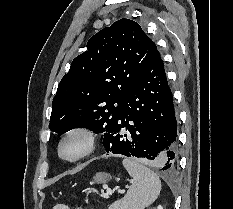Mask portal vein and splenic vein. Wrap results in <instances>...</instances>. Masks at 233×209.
Wrapping results in <instances>:
<instances>
[{
  "label": "portal vein and splenic vein",
  "mask_w": 233,
  "mask_h": 209,
  "mask_svg": "<svg viewBox=\"0 0 233 209\" xmlns=\"http://www.w3.org/2000/svg\"><path fill=\"white\" fill-rule=\"evenodd\" d=\"M112 193L113 191L111 190V188H107L106 193L102 194V196L108 198Z\"/></svg>",
  "instance_id": "obj_1"
}]
</instances>
